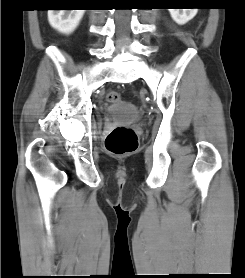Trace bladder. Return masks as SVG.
Returning <instances> with one entry per match:
<instances>
[{
  "label": "bladder",
  "mask_w": 245,
  "mask_h": 278,
  "mask_svg": "<svg viewBox=\"0 0 245 278\" xmlns=\"http://www.w3.org/2000/svg\"><path fill=\"white\" fill-rule=\"evenodd\" d=\"M107 120H116L122 124H132L139 119L137 108L127 102L116 101L106 113Z\"/></svg>",
  "instance_id": "1"
}]
</instances>
